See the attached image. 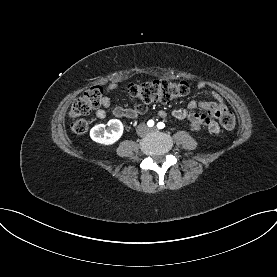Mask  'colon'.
I'll return each mask as SVG.
<instances>
[{
  "label": "colon",
  "instance_id": "5ec220e1",
  "mask_svg": "<svg viewBox=\"0 0 277 277\" xmlns=\"http://www.w3.org/2000/svg\"><path fill=\"white\" fill-rule=\"evenodd\" d=\"M128 92L131 96L145 102L169 103L179 97L185 96L189 92V85L183 81L151 80L131 84L128 87ZM103 98L104 89L101 86H94L75 99L69 111V116L73 119L71 129L74 133L84 134L87 132L89 122L82 118V116L99 107L102 104ZM220 121L226 130H233L235 128V117L229 111H224L221 114Z\"/></svg>",
  "mask_w": 277,
  "mask_h": 277
}]
</instances>
